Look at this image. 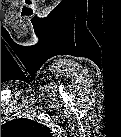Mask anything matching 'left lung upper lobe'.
Here are the masks:
<instances>
[{
  "label": "left lung upper lobe",
  "instance_id": "5c2ea615",
  "mask_svg": "<svg viewBox=\"0 0 121 137\" xmlns=\"http://www.w3.org/2000/svg\"><path fill=\"white\" fill-rule=\"evenodd\" d=\"M1 133L9 137H46L51 134L43 124L25 118L14 119L3 124Z\"/></svg>",
  "mask_w": 121,
  "mask_h": 137
}]
</instances>
